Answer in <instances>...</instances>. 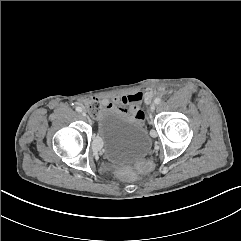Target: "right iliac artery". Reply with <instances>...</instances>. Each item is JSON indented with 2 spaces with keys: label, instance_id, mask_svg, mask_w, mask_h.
I'll return each mask as SVG.
<instances>
[{
  "label": "right iliac artery",
  "instance_id": "right-iliac-artery-1",
  "mask_svg": "<svg viewBox=\"0 0 241 241\" xmlns=\"http://www.w3.org/2000/svg\"><path fill=\"white\" fill-rule=\"evenodd\" d=\"M76 111L77 112H82V108L81 107H76Z\"/></svg>",
  "mask_w": 241,
  "mask_h": 241
}]
</instances>
